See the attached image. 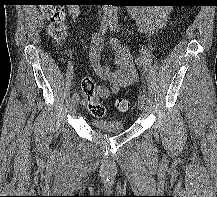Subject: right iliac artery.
<instances>
[{
	"label": "right iliac artery",
	"mask_w": 217,
	"mask_h": 197,
	"mask_svg": "<svg viewBox=\"0 0 217 197\" xmlns=\"http://www.w3.org/2000/svg\"><path fill=\"white\" fill-rule=\"evenodd\" d=\"M109 24H110L109 21H106V20L102 21V23H101V33H102V35H104L106 33ZM78 97L79 96H78L77 92H75L72 95V102L78 100L79 99Z\"/></svg>",
	"instance_id": "obj_1"
}]
</instances>
